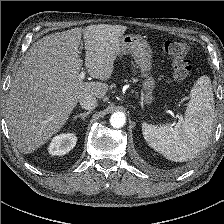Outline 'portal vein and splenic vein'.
<instances>
[{
  "instance_id": "1",
  "label": "portal vein and splenic vein",
  "mask_w": 224,
  "mask_h": 224,
  "mask_svg": "<svg viewBox=\"0 0 224 224\" xmlns=\"http://www.w3.org/2000/svg\"><path fill=\"white\" fill-rule=\"evenodd\" d=\"M85 72L84 71H81L80 74L78 75V79L79 81H83V79L85 78Z\"/></svg>"
}]
</instances>
